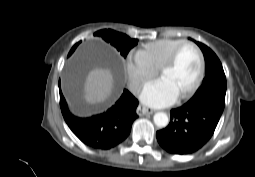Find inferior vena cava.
<instances>
[{"instance_id": "1", "label": "inferior vena cava", "mask_w": 255, "mask_h": 177, "mask_svg": "<svg viewBox=\"0 0 255 177\" xmlns=\"http://www.w3.org/2000/svg\"><path fill=\"white\" fill-rule=\"evenodd\" d=\"M136 90H137V89H133L132 92H133V93H136Z\"/></svg>"}]
</instances>
